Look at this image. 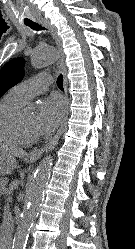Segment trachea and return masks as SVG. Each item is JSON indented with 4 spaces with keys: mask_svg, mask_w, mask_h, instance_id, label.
<instances>
[{
    "mask_svg": "<svg viewBox=\"0 0 135 249\" xmlns=\"http://www.w3.org/2000/svg\"><path fill=\"white\" fill-rule=\"evenodd\" d=\"M25 25L29 26L33 30H44V27H41L39 24L34 23V22H27ZM57 86L59 87L60 90H63V76L60 75L57 79Z\"/></svg>",
    "mask_w": 135,
    "mask_h": 249,
    "instance_id": "1",
    "label": "trachea"
}]
</instances>
